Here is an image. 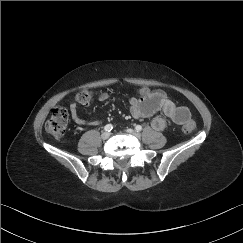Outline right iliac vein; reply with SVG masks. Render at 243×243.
I'll return each instance as SVG.
<instances>
[{
  "label": "right iliac vein",
  "instance_id": "1",
  "mask_svg": "<svg viewBox=\"0 0 243 243\" xmlns=\"http://www.w3.org/2000/svg\"><path fill=\"white\" fill-rule=\"evenodd\" d=\"M109 136H110L109 132H103L102 135H101L102 139H104V140L108 139Z\"/></svg>",
  "mask_w": 243,
  "mask_h": 243
}]
</instances>
